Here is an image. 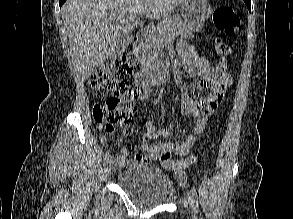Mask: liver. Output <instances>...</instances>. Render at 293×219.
Segmentation results:
<instances>
[{
  "label": "liver",
  "mask_w": 293,
  "mask_h": 219,
  "mask_svg": "<svg viewBox=\"0 0 293 219\" xmlns=\"http://www.w3.org/2000/svg\"><path fill=\"white\" fill-rule=\"evenodd\" d=\"M186 0H67L62 19L70 54L81 79H88L114 53L122 35L131 34L137 16H169Z\"/></svg>",
  "instance_id": "obj_1"
}]
</instances>
